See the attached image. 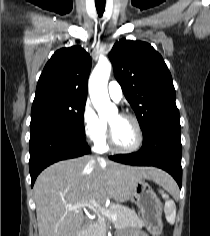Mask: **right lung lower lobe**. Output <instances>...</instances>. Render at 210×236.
<instances>
[{
    "label": "right lung lower lobe",
    "instance_id": "right-lung-lower-lobe-1",
    "mask_svg": "<svg viewBox=\"0 0 210 236\" xmlns=\"http://www.w3.org/2000/svg\"><path fill=\"white\" fill-rule=\"evenodd\" d=\"M90 153L84 136L67 129L48 128L31 133L30 175L33 186L38 174L47 166Z\"/></svg>",
    "mask_w": 210,
    "mask_h": 236
}]
</instances>
